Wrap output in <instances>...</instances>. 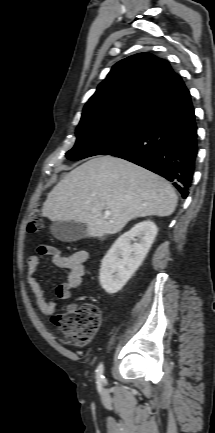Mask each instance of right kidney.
Segmentation results:
<instances>
[{"instance_id":"obj_1","label":"right kidney","mask_w":215,"mask_h":433,"mask_svg":"<svg viewBox=\"0 0 215 433\" xmlns=\"http://www.w3.org/2000/svg\"><path fill=\"white\" fill-rule=\"evenodd\" d=\"M154 222L142 221L121 235L104 256L100 284L109 294L122 289L146 257L156 235ZM133 240L136 243L131 244Z\"/></svg>"}]
</instances>
